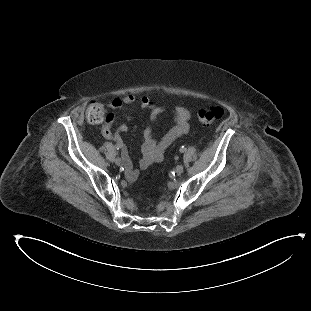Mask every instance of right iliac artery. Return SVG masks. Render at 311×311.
<instances>
[{"label": "right iliac artery", "mask_w": 311, "mask_h": 311, "mask_svg": "<svg viewBox=\"0 0 311 311\" xmlns=\"http://www.w3.org/2000/svg\"><path fill=\"white\" fill-rule=\"evenodd\" d=\"M115 148H116L117 150H119V149L122 148V145H121V144H116V145H115Z\"/></svg>", "instance_id": "82829eb1"}]
</instances>
